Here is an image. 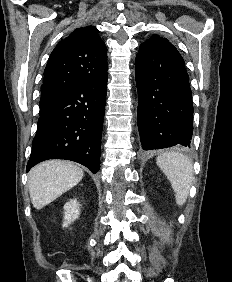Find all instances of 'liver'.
<instances>
[{"instance_id": "liver-1", "label": "liver", "mask_w": 232, "mask_h": 282, "mask_svg": "<svg viewBox=\"0 0 232 282\" xmlns=\"http://www.w3.org/2000/svg\"><path fill=\"white\" fill-rule=\"evenodd\" d=\"M83 170L72 162L48 160L31 169L28 188L33 206L41 209L77 185Z\"/></svg>"}]
</instances>
